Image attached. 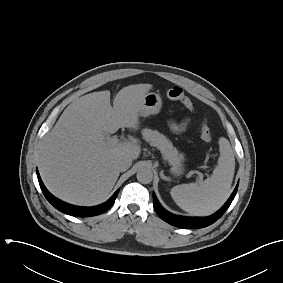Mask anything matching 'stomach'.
Listing matches in <instances>:
<instances>
[{
    "label": "stomach",
    "instance_id": "0dacf381",
    "mask_svg": "<svg viewBox=\"0 0 283 283\" xmlns=\"http://www.w3.org/2000/svg\"><path fill=\"white\" fill-rule=\"evenodd\" d=\"M162 107V99L159 94L150 92L144 95L142 102L139 107L138 114L142 117H147L149 115L158 114ZM183 165L181 161L174 165L172 172L175 175H180L183 173Z\"/></svg>",
    "mask_w": 283,
    "mask_h": 283
}]
</instances>
